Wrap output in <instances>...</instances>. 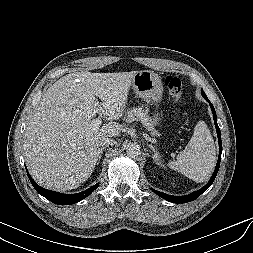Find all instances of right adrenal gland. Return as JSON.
I'll list each match as a JSON object with an SVG mask.
<instances>
[{
  "instance_id": "2a0ac1e0",
  "label": "right adrenal gland",
  "mask_w": 253,
  "mask_h": 253,
  "mask_svg": "<svg viewBox=\"0 0 253 253\" xmlns=\"http://www.w3.org/2000/svg\"><path fill=\"white\" fill-rule=\"evenodd\" d=\"M105 149H106L105 147H102V148L100 149L99 161H100L101 156H102V154H103V151H104ZM99 161H98L97 165L99 164Z\"/></svg>"
}]
</instances>
